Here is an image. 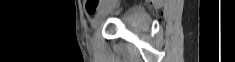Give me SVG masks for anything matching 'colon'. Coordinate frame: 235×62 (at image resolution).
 I'll return each instance as SVG.
<instances>
[{
    "instance_id": "5ec220e1",
    "label": "colon",
    "mask_w": 235,
    "mask_h": 62,
    "mask_svg": "<svg viewBox=\"0 0 235 62\" xmlns=\"http://www.w3.org/2000/svg\"><path fill=\"white\" fill-rule=\"evenodd\" d=\"M97 4V0H88L87 1V10L92 11Z\"/></svg>"
}]
</instances>
